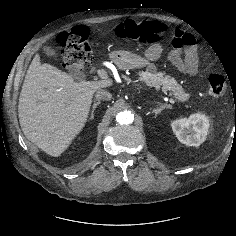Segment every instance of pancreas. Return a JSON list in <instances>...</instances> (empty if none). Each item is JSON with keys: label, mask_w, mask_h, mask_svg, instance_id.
I'll return each mask as SVG.
<instances>
[{"label": "pancreas", "mask_w": 236, "mask_h": 236, "mask_svg": "<svg viewBox=\"0 0 236 236\" xmlns=\"http://www.w3.org/2000/svg\"><path fill=\"white\" fill-rule=\"evenodd\" d=\"M139 76L140 81L156 89L162 87L164 92L169 91L170 94L174 95L175 99L180 102H186L190 98V94L186 93L173 77L164 75L162 72H157V68L154 64H149L146 71L140 72Z\"/></svg>", "instance_id": "1"}]
</instances>
